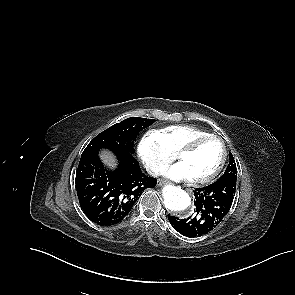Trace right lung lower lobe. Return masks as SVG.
<instances>
[{"instance_id": "98d812e1", "label": "right lung lower lobe", "mask_w": 295, "mask_h": 295, "mask_svg": "<svg viewBox=\"0 0 295 295\" xmlns=\"http://www.w3.org/2000/svg\"><path fill=\"white\" fill-rule=\"evenodd\" d=\"M118 168L109 170L98 155L80 160L76 171L79 203L96 224L111 226L122 221L146 188L157 180L144 175L133 153H115Z\"/></svg>"}]
</instances>
